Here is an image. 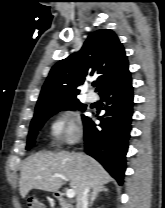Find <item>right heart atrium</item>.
Returning <instances> with one entry per match:
<instances>
[{"label": "right heart atrium", "mask_w": 165, "mask_h": 208, "mask_svg": "<svg viewBox=\"0 0 165 208\" xmlns=\"http://www.w3.org/2000/svg\"><path fill=\"white\" fill-rule=\"evenodd\" d=\"M51 134L55 140L75 142L81 134L75 113L73 111L61 112L52 123Z\"/></svg>", "instance_id": "d8ad5b80"}]
</instances>
